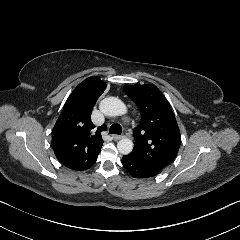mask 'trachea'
I'll list each match as a JSON object with an SVG mask.
<instances>
[{
	"label": "trachea",
	"mask_w": 240,
	"mask_h": 240,
	"mask_svg": "<svg viewBox=\"0 0 240 240\" xmlns=\"http://www.w3.org/2000/svg\"><path fill=\"white\" fill-rule=\"evenodd\" d=\"M109 133L120 135L122 133V126L118 123L112 124L110 129H109Z\"/></svg>",
	"instance_id": "3493384b"
}]
</instances>
